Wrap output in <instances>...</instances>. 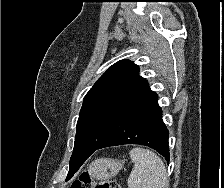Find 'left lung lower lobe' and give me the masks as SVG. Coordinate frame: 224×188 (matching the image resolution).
Here are the masks:
<instances>
[{"label":"left lung lower lobe","mask_w":224,"mask_h":188,"mask_svg":"<svg viewBox=\"0 0 224 188\" xmlns=\"http://www.w3.org/2000/svg\"><path fill=\"white\" fill-rule=\"evenodd\" d=\"M157 99V94L151 89L138 98L124 112L116 126L95 151L110 146L140 144L157 150L169 162V133L163 123L162 110L158 105ZM84 161L75 165L70 164L68 175L72 176Z\"/></svg>","instance_id":"0a47b994"}]
</instances>
